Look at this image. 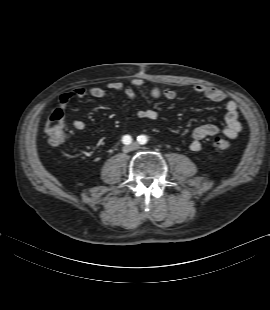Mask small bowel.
Returning a JSON list of instances; mask_svg holds the SVG:
<instances>
[{
  "instance_id": "c3829d8e",
  "label": "small bowel",
  "mask_w": 270,
  "mask_h": 310,
  "mask_svg": "<svg viewBox=\"0 0 270 310\" xmlns=\"http://www.w3.org/2000/svg\"><path fill=\"white\" fill-rule=\"evenodd\" d=\"M144 84L142 79L134 78L130 81L129 85H123L120 82H110L105 88L93 86L88 89L83 87H76L73 90L63 93L59 98V108L65 110L69 102L73 99L83 98L89 95L93 98H105L111 94L123 92L127 99L133 104L137 103L136 89L142 87ZM194 92L203 96L213 102H225V121L224 128H219L214 124H203L196 127L192 133V141L189 144L190 150L197 152L201 149V141L207 137L223 133L226 137L234 139L242 130V125L239 121V106L237 102L231 99H227V95L214 87L198 84L194 87ZM150 96L153 99L165 98L167 100H173L176 97V93L173 90H162L157 87H153L150 90ZM137 117L146 120L158 119V112L152 108H139L136 111ZM72 127L78 131L86 130L87 126L82 120H74Z\"/></svg>"
}]
</instances>
